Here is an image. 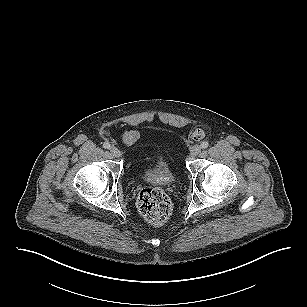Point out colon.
I'll use <instances>...</instances> for the list:
<instances>
[{
	"label": "colon",
	"instance_id": "obj_1",
	"mask_svg": "<svg viewBox=\"0 0 307 307\" xmlns=\"http://www.w3.org/2000/svg\"><path fill=\"white\" fill-rule=\"evenodd\" d=\"M196 138L202 137V132L193 133ZM137 209L141 216L150 223L165 222L172 213V203L168 195L160 188L146 187L139 191Z\"/></svg>",
	"mask_w": 307,
	"mask_h": 307
}]
</instances>
